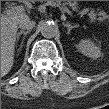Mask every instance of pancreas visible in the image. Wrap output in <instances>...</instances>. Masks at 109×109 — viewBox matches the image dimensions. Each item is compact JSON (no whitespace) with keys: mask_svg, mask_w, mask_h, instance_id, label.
<instances>
[{"mask_svg":"<svg viewBox=\"0 0 109 109\" xmlns=\"http://www.w3.org/2000/svg\"><path fill=\"white\" fill-rule=\"evenodd\" d=\"M36 1H32L35 3ZM59 8H67L69 6L74 11L78 12V14L83 17L84 15L89 16L90 22L98 21L99 23L105 22L107 23L108 16L105 12L101 11L100 9H93V8H83L80 10L79 3L77 1H53Z\"/></svg>","mask_w":109,"mask_h":109,"instance_id":"1","label":"pancreas"}]
</instances>
